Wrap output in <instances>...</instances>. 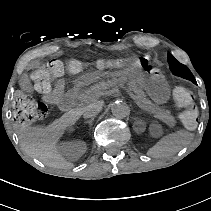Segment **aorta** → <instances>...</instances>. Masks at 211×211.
<instances>
[{
    "mask_svg": "<svg viewBox=\"0 0 211 211\" xmlns=\"http://www.w3.org/2000/svg\"><path fill=\"white\" fill-rule=\"evenodd\" d=\"M112 114L117 118H125L129 115V106L123 101H116L111 105Z\"/></svg>",
    "mask_w": 211,
    "mask_h": 211,
    "instance_id": "obj_1",
    "label": "aorta"
}]
</instances>
